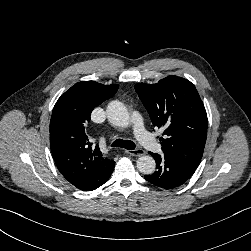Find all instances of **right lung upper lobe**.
<instances>
[{
	"label": "right lung upper lobe",
	"instance_id": "cb5924a9",
	"mask_svg": "<svg viewBox=\"0 0 251 251\" xmlns=\"http://www.w3.org/2000/svg\"><path fill=\"white\" fill-rule=\"evenodd\" d=\"M118 84L103 85L81 81L56 102L50 121V147L57 168L75 187H79L111 161L92 146L85 128L95 107L110 99Z\"/></svg>",
	"mask_w": 251,
	"mask_h": 251
}]
</instances>
